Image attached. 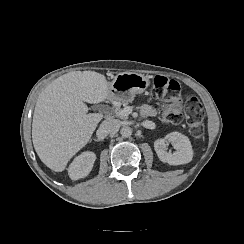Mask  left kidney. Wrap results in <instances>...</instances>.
Listing matches in <instances>:
<instances>
[{"label": "left kidney", "mask_w": 244, "mask_h": 244, "mask_svg": "<svg viewBox=\"0 0 244 244\" xmlns=\"http://www.w3.org/2000/svg\"><path fill=\"white\" fill-rule=\"evenodd\" d=\"M178 151L177 153L167 152L166 147L169 143ZM154 149L158 158L163 163L169 165L187 164L192 160V147L187 137L178 132H172L165 135L163 138H158L154 142Z\"/></svg>", "instance_id": "1"}]
</instances>
